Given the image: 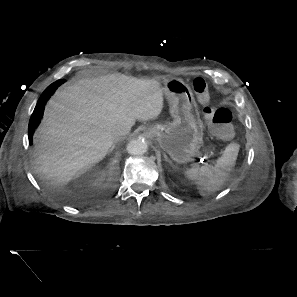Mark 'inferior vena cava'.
Returning <instances> with one entry per match:
<instances>
[{"label": "inferior vena cava", "mask_w": 297, "mask_h": 297, "mask_svg": "<svg viewBox=\"0 0 297 297\" xmlns=\"http://www.w3.org/2000/svg\"><path fill=\"white\" fill-rule=\"evenodd\" d=\"M129 132H130L129 126L119 125L113 129V136L115 139L118 140V139L122 138L123 136L129 134Z\"/></svg>", "instance_id": "obj_1"}]
</instances>
